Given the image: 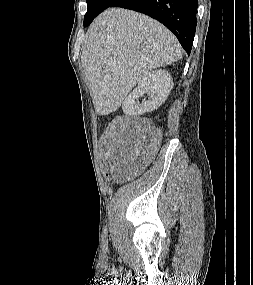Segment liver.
<instances>
[{"label": "liver", "mask_w": 253, "mask_h": 285, "mask_svg": "<svg viewBox=\"0 0 253 285\" xmlns=\"http://www.w3.org/2000/svg\"><path fill=\"white\" fill-rule=\"evenodd\" d=\"M182 56L176 37L158 21L111 8L90 25L81 61L99 115L116 111L148 72Z\"/></svg>", "instance_id": "1"}]
</instances>
